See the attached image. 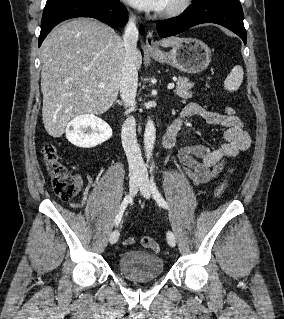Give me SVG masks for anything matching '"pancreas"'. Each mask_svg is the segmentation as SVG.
<instances>
[{
  "label": "pancreas",
  "instance_id": "1",
  "mask_svg": "<svg viewBox=\"0 0 284 319\" xmlns=\"http://www.w3.org/2000/svg\"><path fill=\"white\" fill-rule=\"evenodd\" d=\"M177 87L175 93L183 98L184 100L192 97V92L190 89L193 87V84L186 77H178L176 81Z\"/></svg>",
  "mask_w": 284,
  "mask_h": 319
}]
</instances>
